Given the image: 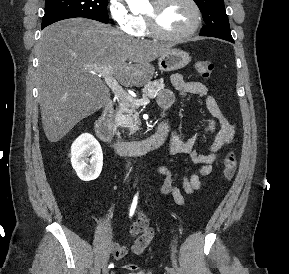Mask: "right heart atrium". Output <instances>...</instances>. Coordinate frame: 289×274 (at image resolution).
<instances>
[{"label":"right heart atrium","instance_id":"obj_1","mask_svg":"<svg viewBox=\"0 0 289 274\" xmlns=\"http://www.w3.org/2000/svg\"><path fill=\"white\" fill-rule=\"evenodd\" d=\"M109 14L118 29L129 35H136L138 21L136 16L129 10L124 0H109Z\"/></svg>","mask_w":289,"mask_h":274}]
</instances>
